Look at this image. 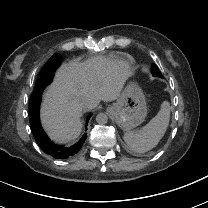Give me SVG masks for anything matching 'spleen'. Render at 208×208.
<instances>
[{
    "label": "spleen",
    "instance_id": "spleen-1",
    "mask_svg": "<svg viewBox=\"0 0 208 208\" xmlns=\"http://www.w3.org/2000/svg\"><path fill=\"white\" fill-rule=\"evenodd\" d=\"M170 111V103L163 101L158 114L141 130L125 133L123 139L129 149L137 153H145L156 147L169 125Z\"/></svg>",
    "mask_w": 208,
    "mask_h": 208
}]
</instances>
